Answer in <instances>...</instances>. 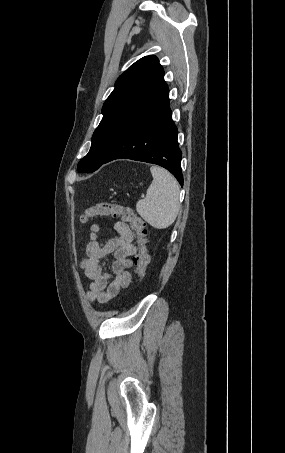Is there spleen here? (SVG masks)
<instances>
[{"instance_id": "1", "label": "spleen", "mask_w": 285, "mask_h": 453, "mask_svg": "<svg viewBox=\"0 0 285 453\" xmlns=\"http://www.w3.org/2000/svg\"><path fill=\"white\" fill-rule=\"evenodd\" d=\"M153 181L144 199L136 203L138 214L152 227L165 229L171 226L179 212V185L164 168H150Z\"/></svg>"}]
</instances>
